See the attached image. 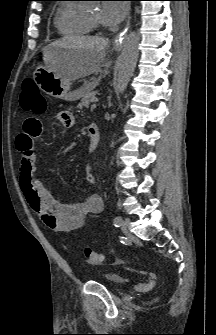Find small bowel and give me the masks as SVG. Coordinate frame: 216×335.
I'll return each mask as SVG.
<instances>
[{"instance_id":"obj_1","label":"small bowel","mask_w":216,"mask_h":335,"mask_svg":"<svg viewBox=\"0 0 216 335\" xmlns=\"http://www.w3.org/2000/svg\"><path fill=\"white\" fill-rule=\"evenodd\" d=\"M57 119L64 127H70L73 116L70 111L58 113ZM44 120L28 119L24 130L17 138V148L21 153L20 187L30 209L43 224L56 232H72L80 229L88 216L103 210V201L99 195H89L77 203H64L55 199L43 183L35 178V139L41 134ZM99 141L89 140V150L94 151ZM85 181L89 185L96 182L95 176L88 171Z\"/></svg>"}]
</instances>
